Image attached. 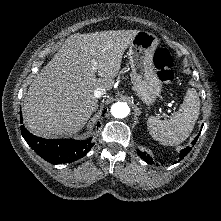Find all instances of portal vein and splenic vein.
<instances>
[{
  "mask_svg": "<svg viewBox=\"0 0 221 221\" xmlns=\"http://www.w3.org/2000/svg\"><path fill=\"white\" fill-rule=\"evenodd\" d=\"M97 66H98V63L96 61H93L92 62V70L96 71L97 70Z\"/></svg>",
  "mask_w": 221,
  "mask_h": 221,
  "instance_id": "portal-vein-and-splenic-vein-1",
  "label": "portal vein and splenic vein"
}]
</instances>
